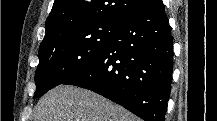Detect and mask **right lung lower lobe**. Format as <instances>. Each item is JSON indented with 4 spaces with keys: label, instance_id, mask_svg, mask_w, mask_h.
<instances>
[{
    "label": "right lung lower lobe",
    "instance_id": "obj_1",
    "mask_svg": "<svg viewBox=\"0 0 217 121\" xmlns=\"http://www.w3.org/2000/svg\"><path fill=\"white\" fill-rule=\"evenodd\" d=\"M173 73V39L162 0L127 17L90 65L62 84L92 90L145 121H164Z\"/></svg>",
    "mask_w": 217,
    "mask_h": 121
}]
</instances>
